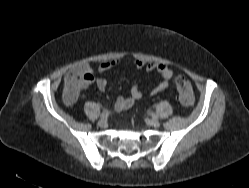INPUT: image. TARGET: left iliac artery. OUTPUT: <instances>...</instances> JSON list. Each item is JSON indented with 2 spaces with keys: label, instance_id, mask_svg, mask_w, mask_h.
Segmentation results:
<instances>
[{
  "label": "left iliac artery",
  "instance_id": "44dca946",
  "mask_svg": "<svg viewBox=\"0 0 249 188\" xmlns=\"http://www.w3.org/2000/svg\"><path fill=\"white\" fill-rule=\"evenodd\" d=\"M152 118H158L157 114L151 113Z\"/></svg>",
  "mask_w": 249,
  "mask_h": 188
}]
</instances>
